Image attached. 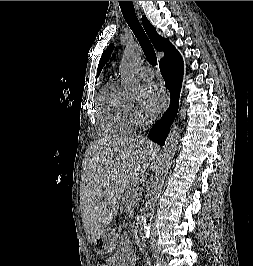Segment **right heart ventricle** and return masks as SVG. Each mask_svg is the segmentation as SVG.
<instances>
[{
    "label": "right heart ventricle",
    "mask_w": 253,
    "mask_h": 266,
    "mask_svg": "<svg viewBox=\"0 0 253 266\" xmlns=\"http://www.w3.org/2000/svg\"><path fill=\"white\" fill-rule=\"evenodd\" d=\"M97 124L101 135L117 137L135 126L130 105L122 98L115 82H108L97 101Z\"/></svg>",
    "instance_id": "right-heart-ventricle-1"
}]
</instances>
